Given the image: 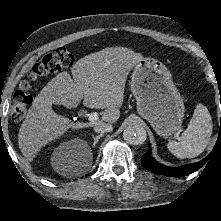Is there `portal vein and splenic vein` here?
<instances>
[{"label": "portal vein and splenic vein", "mask_w": 221, "mask_h": 221, "mask_svg": "<svg viewBox=\"0 0 221 221\" xmlns=\"http://www.w3.org/2000/svg\"><path fill=\"white\" fill-rule=\"evenodd\" d=\"M88 120L90 122H95L98 120V114L97 113H91L88 115Z\"/></svg>", "instance_id": "1"}]
</instances>
